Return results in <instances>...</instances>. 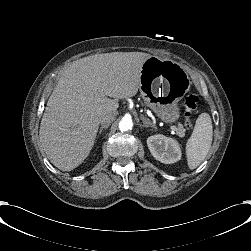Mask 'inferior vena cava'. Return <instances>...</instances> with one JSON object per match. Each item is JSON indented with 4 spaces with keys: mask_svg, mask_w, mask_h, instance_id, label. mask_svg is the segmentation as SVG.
I'll use <instances>...</instances> for the list:
<instances>
[{
    "mask_svg": "<svg viewBox=\"0 0 251 251\" xmlns=\"http://www.w3.org/2000/svg\"><path fill=\"white\" fill-rule=\"evenodd\" d=\"M113 118L111 116H104L100 119V122L104 125H108L112 122Z\"/></svg>",
    "mask_w": 251,
    "mask_h": 251,
    "instance_id": "1",
    "label": "inferior vena cava"
}]
</instances>
